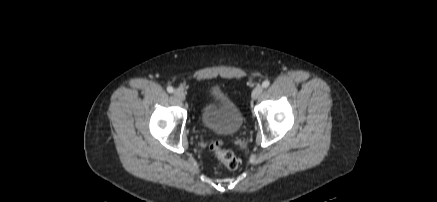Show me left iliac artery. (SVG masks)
<instances>
[{
  "label": "left iliac artery",
  "instance_id": "obj_1",
  "mask_svg": "<svg viewBox=\"0 0 437 202\" xmlns=\"http://www.w3.org/2000/svg\"><path fill=\"white\" fill-rule=\"evenodd\" d=\"M269 85H270V81H268V80H265V81L262 83V87H263V88H267Z\"/></svg>",
  "mask_w": 437,
  "mask_h": 202
}]
</instances>
